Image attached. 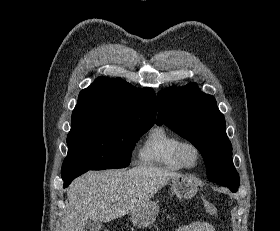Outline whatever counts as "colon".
<instances>
[{
    "mask_svg": "<svg viewBox=\"0 0 280 231\" xmlns=\"http://www.w3.org/2000/svg\"><path fill=\"white\" fill-rule=\"evenodd\" d=\"M204 208L211 215H215L217 213L216 206L208 199L204 200Z\"/></svg>",
    "mask_w": 280,
    "mask_h": 231,
    "instance_id": "obj_1",
    "label": "colon"
}]
</instances>
